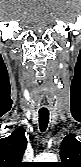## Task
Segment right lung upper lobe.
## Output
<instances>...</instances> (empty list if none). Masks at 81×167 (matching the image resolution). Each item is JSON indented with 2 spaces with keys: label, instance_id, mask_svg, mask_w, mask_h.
I'll return each instance as SVG.
<instances>
[{
  "label": "right lung upper lobe",
  "instance_id": "cb5924a9",
  "mask_svg": "<svg viewBox=\"0 0 81 167\" xmlns=\"http://www.w3.org/2000/svg\"><path fill=\"white\" fill-rule=\"evenodd\" d=\"M26 147L27 139L22 127L0 139V167H26L27 164L21 162Z\"/></svg>",
  "mask_w": 81,
  "mask_h": 167
}]
</instances>
